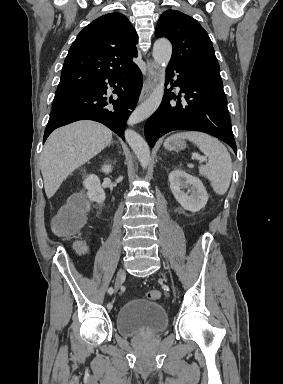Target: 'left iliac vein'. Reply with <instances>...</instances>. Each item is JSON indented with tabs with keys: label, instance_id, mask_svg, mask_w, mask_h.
Instances as JSON below:
<instances>
[{
	"label": "left iliac vein",
	"instance_id": "obj_1",
	"mask_svg": "<svg viewBox=\"0 0 283 384\" xmlns=\"http://www.w3.org/2000/svg\"><path fill=\"white\" fill-rule=\"evenodd\" d=\"M162 276L164 277V280L166 281V278H165V276L162 274Z\"/></svg>",
	"mask_w": 283,
	"mask_h": 384
}]
</instances>
